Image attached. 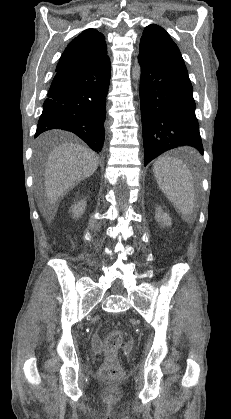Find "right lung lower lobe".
I'll return each instance as SVG.
<instances>
[{"mask_svg": "<svg viewBox=\"0 0 231 419\" xmlns=\"http://www.w3.org/2000/svg\"><path fill=\"white\" fill-rule=\"evenodd\" d=\"M35 137L51 129L73 132L94 151L104 143L110 60L94 67L56 71Z\"/></svg>", "mask_w": 231, "mask_h": 419, "instance_id": "right-lung-lower-lobe-1", "label": "right lung lower lobe"}]
</instances>
